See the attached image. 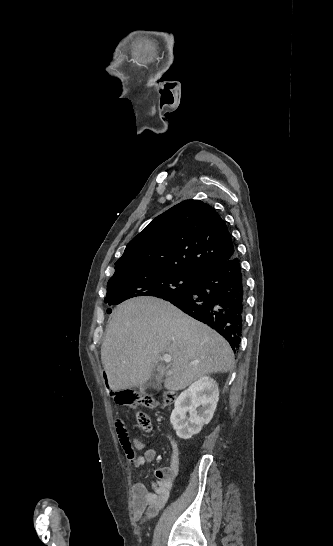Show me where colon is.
I'll list each match as a JSON object with an SVG mask.
<instances>
[{"label": "colon", "mask_w": 333, "mask_h": 546, "mask_svg": "<svg viewBox=\"0 0 333 546\" xmlns=\"http://www.w3.org/2000/svg\"><path fill=\"white\" fill-rule=\"evenodd\" d=\"M103 378H108V373H103ZM107 390H112V385H107ZM175 393L173 391H166L163 393L161 401H156L149 395L138 393L135 391L125 390L118 392L116 395V401L119 405L124 407L136 408L138 406L146 407H157L159 405L167 406L171 405L175 401ZM137 422L140 428L145 432H150L152 429V424L149 416L144 412L137 413ZM117 433L120 440V443L129 459L135 457L134 448L131 444L129 436L126 429L123 426L121 421L117 422ZM176 477V476H175Z\"/></svg>", "instance_id": "obj_1"}]
</instances>
